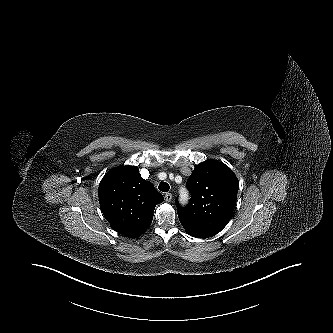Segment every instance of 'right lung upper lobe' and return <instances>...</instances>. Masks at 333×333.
<instances>
[{
	"label": "right lung upper lobe",
	"instance_id": "1",
	"mask_svg": "<svg viewBox=\"0 0 333 333\" xmlns=\"http://www.w3.org/2000/svg\"><path fill=\"white\" fill-rule=\"evenodd\" d=\"M98 197L101 211L112 228L130 238L145 232L155 206L164 200L135 166L110 170L99 184Z\"/></svg>",
	"mask_w": 333,
	"mask_h": 333
}]
</instances>
